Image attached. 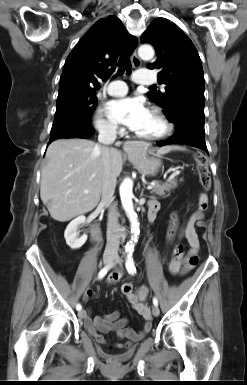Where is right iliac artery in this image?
Here are the masks:
<instances>
[{"label":"right iliac artery","mask_w":247,"mask_h":385,"mask_svg":"<svg viewBox=\"0 0 247 385\" xmlns=\"http://www.w3.org/2000/svg\"><path fill=\"white\" fill-rule=\"evenodd\" d=\"M109 269H110V266L104 267V268L99 272V274H98V279H102V278L107 274V272L109 271ZM76 309H77L78 311H80V310L82 309L81 304L78 303V304L76 305Z\"/></svg>","instance_id":"1"}]
</instances>
